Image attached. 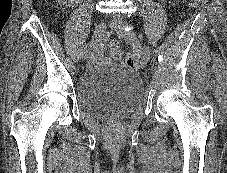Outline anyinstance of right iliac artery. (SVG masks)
Masks as SVG:
<instances>
[{
  "label": "right iliac artery",
  "mask_w": 227,
  "mask_h": 173,
  "mask_svg": "<svg viewBox=\"0 0 227 173\" xmlns=\"http://www.w3.org/2000/svg\"><path fill=\"white\" fill-rule=\"evenodd\" d=\"M103 39H104V38H103ZM104 40H105V39H104ZM90 45H91V42H90L89 44H87V45L84 46V49H83V52H82V56H83L84 54L87 53V51H88ZM99 46H100V47H105V43H102V42H101V43H99Z\"/></svg>",
  "instance_id": "obj_1"
}]
</instances>
